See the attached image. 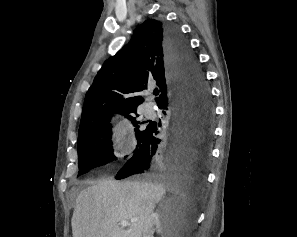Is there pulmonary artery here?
Segmentation results:
<instances>
[{
	"mask_svg": "<svg viewBox=\"0 0 297 237\" xmlns=\"http://www.w3.org/2000/svg\"><path fill=\"white\" fill-rule=\"evenodd\" d=\"M146 114L148 116H153L156 112L155 106L152 103L146 104Z\"/></svg>",
	"mask_w": 297,
	"mask_h": 237,
	"instance_id": "e3ab8cb5",
	"label": "pulmonary artery"
}]
</instances>
